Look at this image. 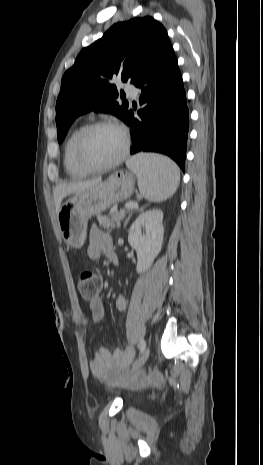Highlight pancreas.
I'll use <instances>...</instances> for the list:
<instances>
[{"mask_svg":"<svg viewBox=\"0 0 263 465\" xmlns=\"http://www.w3.org/2000/svg\"><path fill=\"white\" fill-rule=\"evenodd\" d=\"M130 211H120V212H116L115 214H113L112 216L110 217H105V216H98L97 219H98V222H99V225L100 227L108 230V231H111L113 230L114 228H119L120 227V224H121V221L125 218L126 214L129 213Z\"/></svg>","mask_w":263,"mask_h":465,"instance_id":"pancreas-1","label":"pancreas"}]
</instances>
